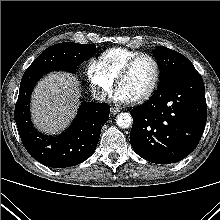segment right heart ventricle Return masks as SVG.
Masks as SVG:
<instances>
[{"instance_id":"e07e8e85","label":"right heart ventricle","mask_w":220,"mask_h":220,"mask_svg":"<svg viewBox=\"0 0 220 220\" xmlns=\"http://www.w3.org/2000/svg\"><path fill=\"white\" fill-rule=\"evenodd\" d=\"M138 53L140 52L122 47L111 48L101 54L99 62L106 73L115 80L126 62Z\"/></svg>"}]
</instances>
